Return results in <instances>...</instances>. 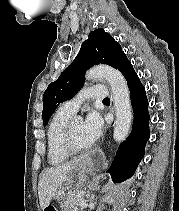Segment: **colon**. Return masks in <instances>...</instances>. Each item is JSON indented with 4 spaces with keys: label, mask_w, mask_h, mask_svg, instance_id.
Returning a JSON list of instances; mask_svg holds the SVG:
<instances>
[{
    "label": "colon",
    "mask_w": 179,
    "mask_h": 211,
    "mask_svg": "<svg viewBox=\"0 0 179 211\" xmlns=\"http://www.w3.org/2000/svg\"><path fill=\"white\" fill-rule=\"evenodd\" d=\"M43 211H57V210L54 206L49 205V206L45 207Z\"/></svg>",
    "instance_id": "5ec220e1"
}]
</instances>
